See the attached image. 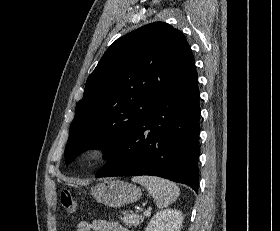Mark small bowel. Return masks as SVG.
Segmentation results:
<instances>
[{"label":"small bowel","instance_id":"c3829d8e","mask_svg":"<svg viewBox=\"0 0 280 231\" xmlns=\"http://www.w3.org/2000/svg\"><path fill=\"white\" fill-rule=\"evenodd\" d=\"M77 231H126V230L125 228L122 227L121 224L117 222L96 219L91 222L80 221L77 225Z\"/></svg>","mask_w":280,"mask_h":231}]
</instances>
